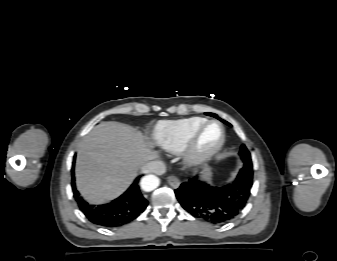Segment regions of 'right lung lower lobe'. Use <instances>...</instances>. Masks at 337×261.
<instances>
[{
  "instance_id": "right-lung-lower-lobe-1",
  "label": "right lung lower lobe",
  "mask_w": 337,
  "mask_h": 261,
  "mask_svg": "<svg viewBox=\"0 0 337 261\" xmlns=\"http://www.w3.org/2000/svg\"><path fill=\"white\" fill-rule=\"evenodd\" d=\"M139 178L137 177L130 188L119 198L104 205H91L79 198L74 177L72 178V189L80 210L92 223L114 228L133 221L147 207L148 201L143 197L138 186Z\"/></svg>"
}]
</instances>
